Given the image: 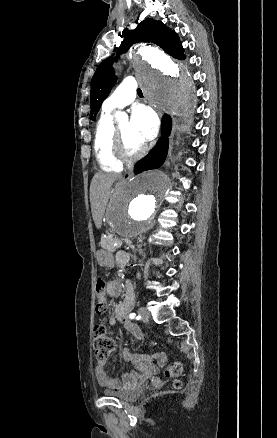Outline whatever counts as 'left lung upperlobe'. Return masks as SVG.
<instances>
[{
  "mask_svg": "<svg viewBox=\"0 0 277 438\" xmlns=\"http://www.w3.org/2000/svg\"><path fill=\"white\" fill-rule=\"evenodd\" d=\"M124 38L118 48V55L126 52L131 45L137 42H151L160 46L166 53L177 58L185 59L184 49L175 31L166 27L161 21L154 19L143 20L136 29L123 32ZM114 58L106 59L97 67L91 80L90 119L95 120L103 100L108 96L115 83V76L111 64Z\"/></svg>",
  "mask_w": 277,
  "mask_h": 438,
  "instance_id": "1",
  "label": "left lung upper lobe"
}]
</instances>
